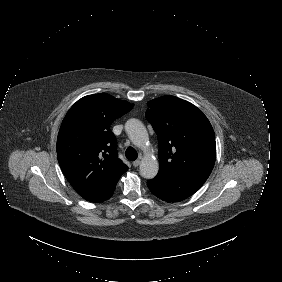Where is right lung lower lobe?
Masks as SVG:
<instances>
[{
  "instance_id": "obj_1",
  "label": "right lung lower lobe",
  "mask_w": 282,
  "mask_h": 282,
  "mask_svg": "<svg viewBox=\"0 0 282 282\" xmlns=\"http://www.w3.org/2000/svg\"><path fill=\"white\" fill-rule=\"evenodd\" d=\"M114 190H115V187L113 188V190L111 192L100 196L99 198H97L96 200H94L92 202H102V201L109 199L113 195Z\"/></svg>"
}]
</instances>
